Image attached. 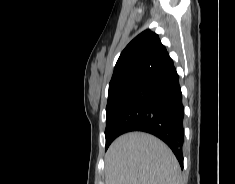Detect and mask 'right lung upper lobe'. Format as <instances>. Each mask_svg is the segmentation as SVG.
I'll return each instance as SVG.
<instances>
[{
    "mask_svg": "<svg viewBox=\"0 0 235 184\" xmlns=\"http://www.w3.org/2000/svg\"><path fill=\"white\" fill-rule=\"evenodd\" d=\"M169 57L157 34L145 30L122 51L114 68L109 91L132 79H141Z\"/></svg>",
    "mask_w": 235,
    "mask_h": 184,
    "instance_id": "1",
    "label": "right lung upper lobe"
}]
</instances>
